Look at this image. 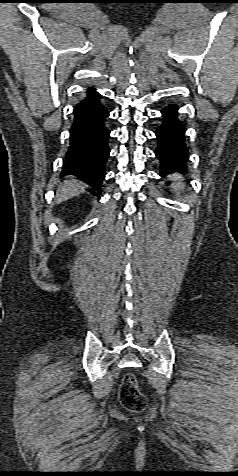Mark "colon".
<instances>
[{"label": "colon", "instance_id": "1", "mask_svg": "<svg viewBox=\"0 0 238 476\" xmlns=\"http://www.w3.org/2000/svg\"><path fill=\"white\" fill-rule=\"evenodd\" d=\"M119 399L122 405L134 412L142 411L146 406V397L139 390L137 379L133 373H126L120 384Z\"/></svg>", "mask_w": 238, "mask_h": 476}]
</instances>
